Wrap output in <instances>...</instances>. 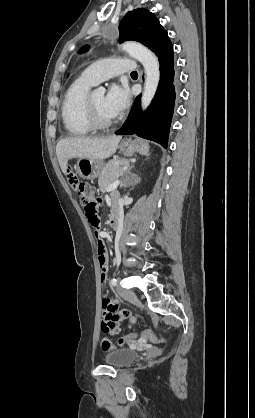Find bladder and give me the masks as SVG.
<instances>
[{
    "mask_svg": "<svg viewBox=\"0 0 255 418\" xmlns=\"http://www.w3.org/2000/svg\"><path fill=\"white\" fill-rule=\"evenodd\" d=\"M138 358L137 351L130 348H118L106 353L104 362L113 367H125Z\"/></svg>",
    "mask_w": 255,
    "mask_h": 418,
    "instance_id": "1",
    "label": "bladder"
}]
</instances>
